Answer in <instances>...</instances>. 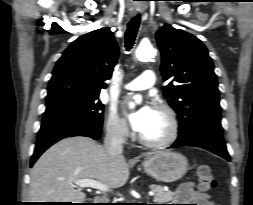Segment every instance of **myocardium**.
<instances>
[{
  "label": "myocardium",
  "mask_w": 253,
  "mask_h": 205,
  "mask_svg": "<svg viewBox=\"0 0 253 205\" xmlns=\"http://www.w3.org/2000/svg\"><path fill=\"white\" fill-rule=\"evenodd\" d=\"M155 109L166 116L169 124L168 134L159 140H149L141 135H138V140L147 147L160 148L172 144L178 138L180 123L176 111L170 105L160 103L155 106Z\"/></svg>",
  "instance_id": "f54148a6"
}]
</instances>
